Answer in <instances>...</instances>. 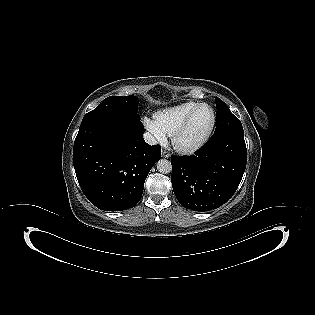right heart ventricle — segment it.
I'll return each instance as SVG.
<instances>
[{
    "mask_svg": "<svg viewBox=\"0 0 315 315\" xmlns=\"http://www.w3.org/2000/svg\"><path fill=\"white\" fill-rule=\"evenodd\" d=\"M199 104L197 101H185L158 111L154 119L167 136H172L187 115Z\"/></svg>",
    "mask_w": 315,
    "mask_h": 315,
    "instance_id": "obj_1",
    "label": "right heart ventricle"
}]
</instances>
